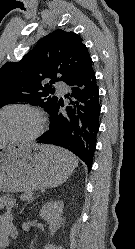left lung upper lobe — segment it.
Here are the masks:
<instances>
[{
  "instance_id": "1",
  "label": "left lung upper lobe",
  "mask_w": 135,
  "mask_h": 249,
  "mask_svg": "<svg viewBox=\"0 0 135 249\" xmlns=\"http://www.w3.org/2000/svg\"><path fill=\"white\" fill-rule=\"evenodd\" d=\"M82 38L57 29L42 38L19 62L0 69V108L11 102H30L50 113L58 102L55 81L66 84L80 77L92 63Z\"/></svg>"
}]
</instances>
